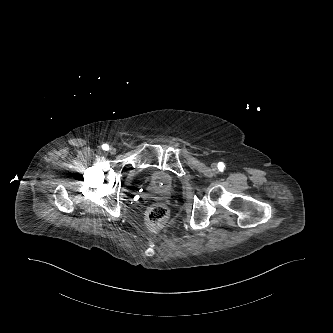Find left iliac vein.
<instances>
[{"instance_id": "1", "label": "left iliac vein", "mask_w": 333, "mask_h": 333, "mask_svg": "<svg viewBox=\"0 0 333 333\" xmlns=\"http://www.w3.org/2000/svg\"><path fill=\"white\" fill-rule=\"evenodd\" d=\"M211 168H212L213 170L217 169V164H216V163H212V164H211Z\"/></svg>"}]
</instances>
